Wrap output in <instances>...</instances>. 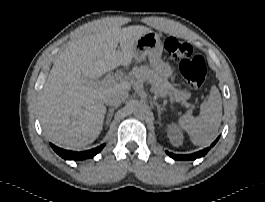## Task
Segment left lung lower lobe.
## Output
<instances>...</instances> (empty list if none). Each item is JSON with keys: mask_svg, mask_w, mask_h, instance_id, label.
<instances>
[{"mask_svg": "<svg viewBox=\"0 0 265 202\" xmlns=\"http://www.w3.org/2000/svg\"><path fill=\"white\" fill-rule=\"evenodd\" d=\"M218 139H219V137L212 143L211 147L216 144ZM209 149L210 148H205L204 150H201V151L193 153V154H188V155H177V154L170 153L168 151H166V153L171 158H173L175 160H195L196 158H200V157H203L204 155H206L207 152L209 151Z\"/></svg>", "mask_w": 265, "mask_h": 202, "instance_id": "left-lung-lower-lobe-1", "label": "left lung lower lobe"}]
</instances>
